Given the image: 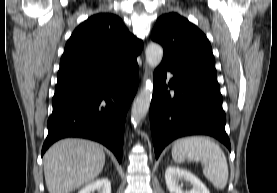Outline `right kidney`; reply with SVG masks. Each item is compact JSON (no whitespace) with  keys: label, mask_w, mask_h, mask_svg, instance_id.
<instances>
[{"label":"right kidney","mask_w":277,"mask_h":193,"mask_svg":"<svg viewBox=\"0 0 277 193\" xmlns=\"http://www.w3.org/2000/svg\"><path fill=\"white\" fill-rule=\"evenodd\" d=\"M111 193V183L107 178L96 180L85 186L78 193Z\"/></svg>","instance_id":"obj_1"}]
</instances>
